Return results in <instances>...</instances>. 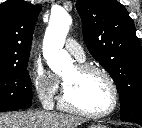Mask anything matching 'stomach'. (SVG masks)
Listing matches in <instances>:
<instances>
[{"label":"stomach","mask_w":142,"mask_h":128,"mask_svg":"<svg viewBox=\"0 0 142 128\" xmlns=\"http://www.w3.org/2000/svg\"><path fill=\"white\" fill-rule=\"evenodd\" d=\"M89 128H106V126L100 124H92L89 126Z\"/></svg>","instance_id":"1"}]
</instances>
